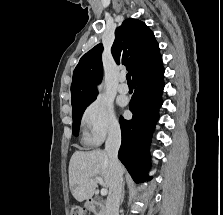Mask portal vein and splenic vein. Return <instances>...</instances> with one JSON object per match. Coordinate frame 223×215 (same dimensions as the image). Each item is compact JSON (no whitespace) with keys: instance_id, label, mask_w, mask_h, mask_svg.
<instances>
[{"instance_id":"obj_1","label":"portal vein and splenic vein","mask_w":223,"mask_h":215,"mask_svg":"<svg viewBox=\"0 0 223 215\" xmlns=\"http://www.w3.org/2000/svg\"><path fill=\"white\" fill-rule=\"evenodd\" d=\"M95 179H97V181H98V183H100V185H103V183H104L103 177H100V175H96ZM106 193H108V189H105V187H102L101 195H106Z\"/></svg>"}]
</instances>
